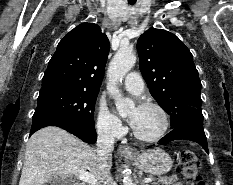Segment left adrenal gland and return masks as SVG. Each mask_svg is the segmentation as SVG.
<instances>
[{
  "mask_svg": "<svg viewBox=\"0 0 233 185\" xmlns=\"http://www.w3.org/2000/svg\"><path fill=\"white\" fill-rule=\"evenodd\" d=\"M141 185H145L143 182H141Z\"/></svg>",
  "mask_w": 233,
  "mask_h": 185,
  "instance_id": "1",
  "label": "left adrenal gland"
}]
</instances>
